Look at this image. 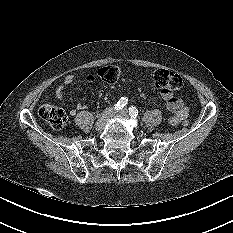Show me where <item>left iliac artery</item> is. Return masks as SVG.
I'll return each instance as SVG.
<instances>
[{
  "mask_svg": "<svg viewBox=\"0 0 233 233\" xmlns=\"http://www.w3.org/2000/svg\"><path fill=\"white\" fill-rule=\"evenodd\" d=\"M129 116H130L131 118H134V119L138 116V110H137L136 107L131 106V107L129 108Z\"/></svg>",
  "mask_w": 233,
  "mask_h": 233,
  "instance_id": "1",
  "label": "left iliac artery"
}]
</instances>
